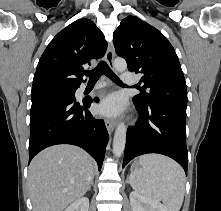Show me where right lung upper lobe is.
I'll return each instance as SVG.
<instances>
[{
	"label": "right lung upper lobe",
	"instance_id": "right-lung-upper-lobe-1",
	"mask_svg": "<svg viewBox=\"0 0 221 211\" xmlns=\"http://www.w3.org/2000/svg\"><path fill=\"white\" fill-rule=\"evenodd\" d=\"M107 42L92 20L83 18L60 31L42 54L32 91L48 88H77L83 70L92 59L101 58Z\"/></svg>",
	"mask_w": 221,
	"mask_h": 211
}]
</instances>
